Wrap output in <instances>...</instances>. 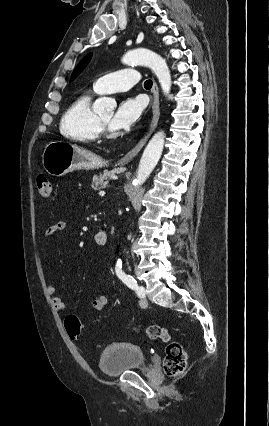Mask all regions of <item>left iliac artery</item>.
<instances>
[{
    "label": "left iliac artery",
    "instance_id": "obj_1",
    "mask_svg": "<svg viewBox=\"0 0 269 426\" xmlns=\"http://www.w3.org/2000/svg\"><path fill=\"white\" fill-rule=\"evenodd\" d=\"M122 267H116V274L125 283L129 288L135 290L136 294L140 298L145 297V289L143 287L138 286L136 280L130 276L126 275L122 270Z\"/></svg>",
    "mask_w": 269,
    "mask_h": 426
}]
</instances>
